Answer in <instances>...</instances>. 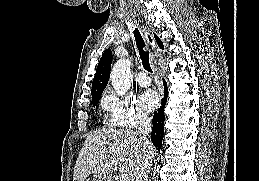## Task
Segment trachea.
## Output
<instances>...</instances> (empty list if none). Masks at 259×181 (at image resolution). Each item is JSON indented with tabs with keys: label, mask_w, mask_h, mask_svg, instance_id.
I'll use <instances>...</instances> for the list:
<instances>
[{
	"label": "trachea",
	"mask_w": 259,
	"mask_h": 181,
	"mask_svg": "<svg viewBox=\"0 0 259 181\" xmlns=\"http://www.w3.org/2000/svg\"><path fill=\"white\" fill-rule=\"evenodd\" d=\"M133 33H134L136 45L139 51V56L142 61L143 67L148 72H152L150 62H149V59H150L149 52L146 50L145 42L137 28L134 29Z\"/></svg>",
	"instance_id": "1"
}]
</instances>
